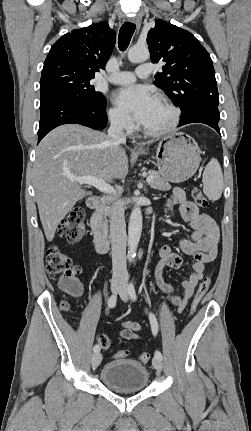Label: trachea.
Returning a JSON list of instances; mask_svg holds the SVG:
<instances>
[{"mask_svg":"<svg viewBox=\"0 0 251 431\" xmlns=\"http://www.w3.org/2000/svg\"><path fill=\"white\" fill-rule=\"evenodd\" d=\"M135 24L131 22H125L119 31L118 35V46L121 51H125L131 41L133 33L135 31Z\"/></svg>","mask_w":251,"mask_h":431,"instance_id":"trachea-1","label":"trachea"}]
</instances>
